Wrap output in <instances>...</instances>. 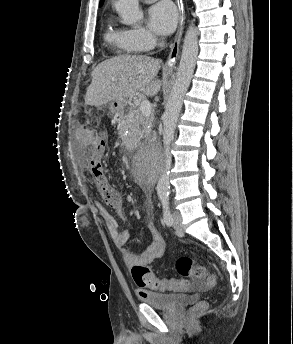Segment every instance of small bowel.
Here are the masks:
<instances>
[{
	"label": "small bowel",
	"instance_id": "obj_1",
	"mask_svg": "<svg viewBox=\"0 0 293 344\" xmlns=\"http://www.w3.org/2000/svg\"><path fill=\"white\" fill-rule=\"evenodd\" d=\"M99 139L100 137L95 136L91 131L85 128H78L75 132V144L80 152L93 146ZM98 208L105 222L108 234L127 266L133 267L134 265L150 264L163 256L166 249V243L153 223H149L147 226L151 236V242L141 253H134L126 247V243L130 238V233L127 230L120 229L117 220V218L120 220L125 218L123 207L120 205L116 208L117 218L101 205H99ZM144 293L145 292H142L141 295Z\"/></svg>",
	"mask_w": 293,
	"mask_h": 344
}]
</instances>
